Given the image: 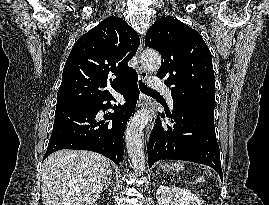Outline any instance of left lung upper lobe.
<instances>
[{
  "label": "left lung upper lobe",
  "mask_w": 269,
  "mask_h": 205,
  "mask_svg": "<svg viewBox=\"0 0 269 205\" xmlns=\"http://www.w3.org/2000/svg\"><path fill=\"white\" fill-rule=\"evenodd\" d=\"M145 45L161 54L157 76L170 87L173 102H215L211 52L197 31L172 16H163L148 30Z\"/></svg>",
  "instance_id": "5c2ea615"
}]
</instances>
